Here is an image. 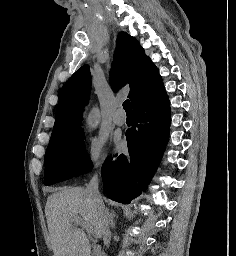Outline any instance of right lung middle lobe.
I'll use <instances>...</instances> for the list:
<instances>
[{
	"label": "right lung middle lobe",
	"instance_id": "1",
	"mask_svg": "<svg viewBox=\"0 0 236 256\" xmlns=\"http://www.w3.org/2000/svg\"><path fill=\"white\" fill-rule=\"evenodd\" d=\"M83 139V130L79 126L63 137L50 140L45 154L44 185L90 171V158Z\"/></svg>",
	"mask_w": 236,
	"mask_h": 256
}]
</instances>
